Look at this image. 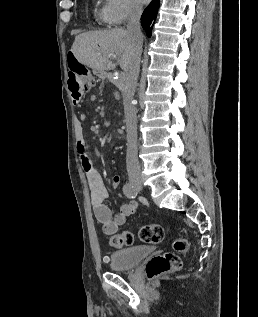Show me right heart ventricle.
Wrapping results in <instances>:
<instances>
[{
	"label": "right heart ventricle",
	"instance_id": "e07e8e85",
	"mask_svg": "<svg viewBox=\"0 0 258 317\" xmlns=\"http://www.w3.org/2000/svg\"><path fill=\"white\" fill-rule=\"evenodd\" d=\"M97 20L98 21H105V5L97 13Z\"/></svg>",
	"mask_w": 258,
	"mask_h": 317
}]
</instances>
